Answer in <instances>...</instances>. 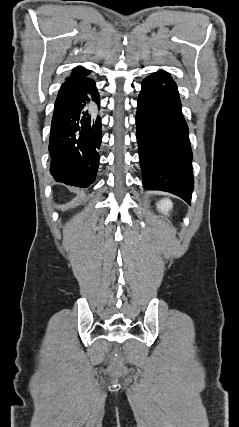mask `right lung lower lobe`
<instances>
[{
  "mask_svg": "<svg viewBox=\"0 0 239 427\" xmlns=\"http://www.w3.org/2000/svg\"><path fill=\"white\" fill-rule=\"evenodd\" d=\"M88 74L72 75L62 84L50 133V172L55 181L76 187L94 182L102 139L99 94Z\"/></svg>",
  "mask_w": 239,
  "mask_h": 427,
  "instance_id": "1",
  "label": "right lung lower lobe"
}]
</instances>
